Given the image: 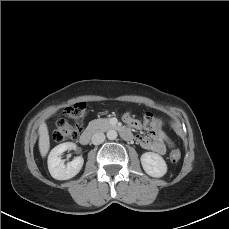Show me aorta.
Instances as JSON below:
<instances>
[{"label": "aorta", "mask_w": 229, "mask_h": 229, "mask_svg": "<svg viewBox=\"0 0 229 229\" xmlns=\"http://www.w3.org/2000/svg\"><path fill=\"white\" fill-rule=\"evenodd\" d=\"M117 136H118V134H117V131H115V130H109L107 132V138L109 140H115L117 138Z\"/></svg>", "instance_id": "1"}]
</instances>
